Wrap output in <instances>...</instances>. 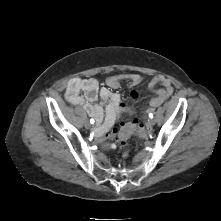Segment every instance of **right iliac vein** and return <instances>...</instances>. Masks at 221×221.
Listing matches in <instances>:
<instances>
[{"instance_id": "obj_1", "label": "right iliac vein", "mask_w": 221, "mask_h": 221, "mask_svg": "<svg viewBox=\"0 0 221 221\" xmlns=\"http://www.w3.org/2000/svg\"><path fill=\"white\" fill-rule=\"evenodd\" d=\"M84 126H85L86 129H90L91 128V124L88 121H86L84 123Z\"/></svg>"}]
</instances>
